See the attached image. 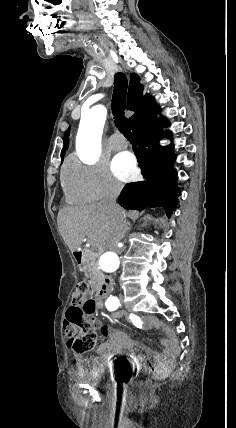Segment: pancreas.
Masks as SVG:
<instances>
[{"label": "pancreas", "mask_w": 236, "mask_h": 428, "mask_svg": "<svg viewBox=\"0 0 236 428\" xmlns=\"http://www.w3.org/2000/svg\"><path fill=\"white\" fill-rule=\"evenodd\" d=\"M101 254H89L88 258H86L84 270L89 272L88 278H90V286L91 288H99V280L102 278L103 274L98 270V260Z\"/></svg>", "instance_id": "obj_1"}]
</instances>
